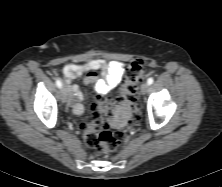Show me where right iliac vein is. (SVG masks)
I'll return each mask as SVG.
<instances>
[{"label": "right iliac vein", "mask_w": 222, "mask_h": 187, "mask_svg": "<svg viewBox=\"0 0 222 187\" xmlns=\"http://www.w3.org/2000/svg\"><path fill=\"white\" fill-rule=\"evenodd\" d=\"M60 98L63 103H66L68 100V91L67 88L63 87L60 90Z\"/></svg>", "instance_id": "obj_1"}]
</instances>
